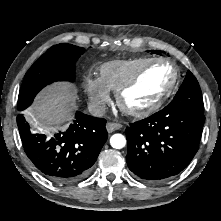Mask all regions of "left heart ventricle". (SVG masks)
<instances>
[{
    "instance_id": "b2bd125f",
    "label": "left heart ventricle",
    "mask_w": 221,
    "mask_h": 221,
    "mask_svg": "<svg viewBox=\"0 0 221 221\" xmlns=\"http://www.w3.org/2000/svg\"><path fill=\"white\" fill-rule=\"evenodd\" d=\"M172 77L173 70L169 65H152L125 94L126 104L134 109L150 105L168 87Z\"/></svg>"
}]
</instances>
